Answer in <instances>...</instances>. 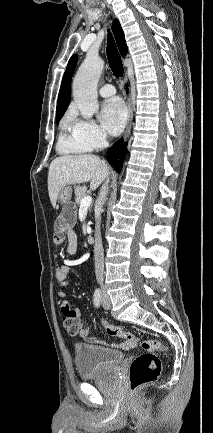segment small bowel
Here are the masks:
<instances>
[{"label":"small bowel","mask_w":213,"mask_h":433,"mask_svg":"<svg viewBox=\"0 0 213 433\" xmlns=\"http://www.w3.org/2000/svg\"><path fill=\"white\" fill-rule=\"evenodd\" d=\"M76 220V216L72 211H65L56 221L55 227H54V236H53V243L55 246H61L64 241H67L66 246V253L68 255H74L77 252L78 247V239L76 232L74 230V223ZM72 262L70 260H66L62 265H60L56 272H55V279L59 285L60 288L66 287L70 283V274L72 270ZM59 297H61L62 303H61V310L63 314L70 312V311H76L71 306L70 301L67 298V293L63 290L58 291ZM79 313V312H78ZM79 336L87 340L91 343L98 342L96 338L90 336V329L85 327L82 328L79 332ZM101 344H104L103 342H100ZM115 348L120 349H128L132 345L128 342H121L117 344L112 345Z\"/></svg>","instance_id":"obj_1"}]
</instances>
